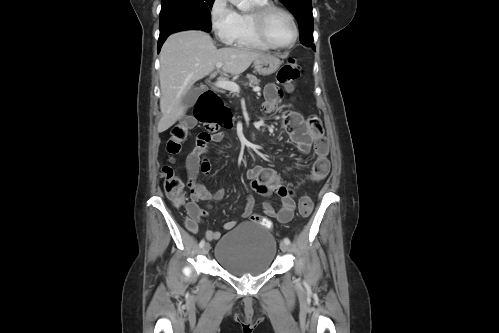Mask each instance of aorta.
<instances>
[{"instance_id":"762f6f07","label":"aorta","mask_w":499,"mask_h":333,"mask_svg":"<svg viewBox=\"0 0 499 333\" xmlns=\"http://www.w3.org/2000/svg\"><path fill=\"white\" fill-rule=\"evenodd\" d=\"M228 1L242 11H246L250 8L249 0H228Z\"/></svg>"}]
</instances>
